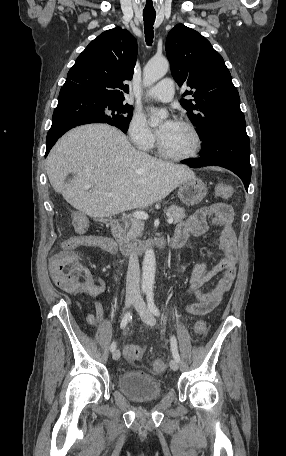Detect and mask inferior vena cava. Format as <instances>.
Segmentation results:
<instances>
[{
    "label": "inferior vena cava",
    "instance_id": "obj_1",
    "mask_svg": "<svg viewBox=\"0 0 286 456\" xmlns=\"http://www.w3.org/2000/svg\"><path fill=\"white\" fill-rule=\"evenodd\" d=\"M140 268L137 253L134 250L130 251L128 271L126 277V295L140 296Z\"/></svg>",
    "mask_w": 286,
    "mask_h": 456
}]
</instances>
